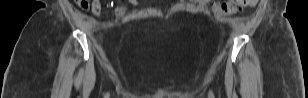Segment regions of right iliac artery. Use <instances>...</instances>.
Wrapping results in <instances>:
<instances>
[{
  "mask_svg": "<svg viewBox=\"0 0 308 98\" xmlns=\"http://www.w3.org/2000/svg\"><path fill=\"white\" fill-rule=\"evenodd\" d=\"M109 97V93H107L106 95H105V98H108Z\"/></svg>",
  "mask_w": 308,
  "mask_h": 98,
  "instance_id": "obj_1",
  "label": "right iliac artery"
}]
</instances>
